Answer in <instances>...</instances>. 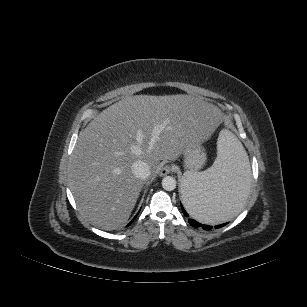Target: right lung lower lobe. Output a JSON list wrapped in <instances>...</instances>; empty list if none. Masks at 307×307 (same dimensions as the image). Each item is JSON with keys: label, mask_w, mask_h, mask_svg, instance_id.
<instances>
[{"label": "right lung lower lobe", "mask_w": 307, "mask_h": 307, "mask_svg": "<svg viewBox=\"0 0 307 307\" xmlns=\"http://www.w3.org/2000/svg\"><path fill=\"white\" fill-rule=\"evenodd\" d=\"M136 216H137V215H136ZM136 216H135V218H136ZM135 218H134V219H135ZM134 219L127 225V227L134 221Z\"/></svg>", "instance_id": "1"}]
</instances>
